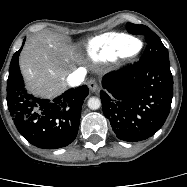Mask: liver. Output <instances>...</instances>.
<instances>
[{
    "label": "liver",
    "mask_w": 187,
    "mask_h": 187,
    "mask_svg": "<svg viewBox=\"0 0 187 187\" xmlns=\"http://www.w3.org/2000/svg\"><path fill=\"white\" fill-rule=\"evenodd\" d=\"M76 46L50 33L30 37L20 54L21 72L30 93L53 98L67 89L66 77L83 63Z\"/></svg>",
    "instance_id": "liver-1"
}]
</instances>
